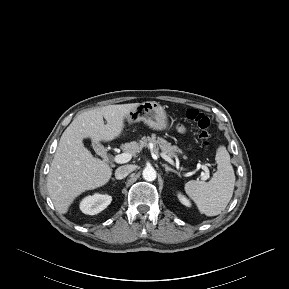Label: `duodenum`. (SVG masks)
<instances>
[{
    "label": "duodenum",
    "instance_id": "duodenum-1",
    "mask_svg": "<svg viewBox=\"0 0 289 289\" xmlns=\"http://www.w3.org/2000/svg\"><path fill=\"white\" fill-rule=\"evenodd\" d=\"M102 156L107 159V154L105 152H102Z\"/></svg>",
    "mask_w": 289,
    "mask_h": 289
}]
</instances>
